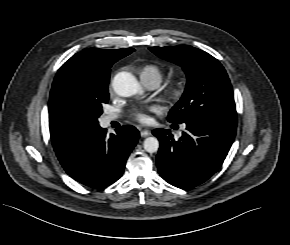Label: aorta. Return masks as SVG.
<instances>
[{"mask_svg": "<svg viewBox=\"0 0 290 245\" xmlns=\"http://www.w3.org/2000/svg\"><path fill=\"white\" fill-rule=\"evenodd\" d=\"M114 91L123 97H130L136 94H141L142 88L135 78L129 72H120L113 79ZM144 150L148 153H154L158 151L159 141L156 137H148L144 140Z\"/></svg>", "mask_w": 290, "mask_h": 245, "instance_id": "1", "label": "aorta"}]
</instances>
